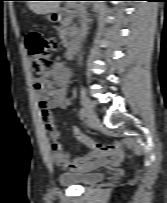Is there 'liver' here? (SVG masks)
<instances>
[{
  "instance_id": "liver-1",
  "label": "liver",
  "mask_w": 167,
  "mask_h": 203,
  "mask_svg": "<svg viewBox=\"0 0 167 203\" xmlns=\"http://www.w3.org/2000/svg\"><path fill=\"white\" fill-rule=\"evenodd\" d=\"M27 5L36 14H47L56 11L60 1H28Z\"/></svg>"
}]
</instances>
